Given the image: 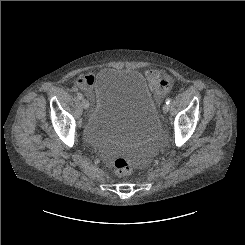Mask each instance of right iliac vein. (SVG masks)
<instances>
[{
    "mask_svg": "<svg viewBox=\"0 0 245 245\" xmlns=\"http://www.w3.org/2000/svg\"><path fill=\"white\" fill-rule=\"evenodd\" d=\"M81 105H82V107H83L84 109H88V108H89V102H88V100L83 99V100L81 101Z\"/></svg>",
    "mask_w": 245,
    "mask_h": 245,
    "instance_id": "obj_1",
    "label": "right iliac vein"
}]
</instances>
